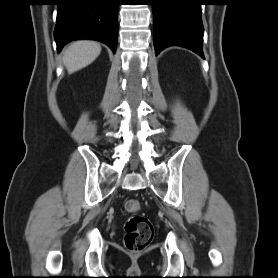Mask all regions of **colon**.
<instances>
[{
    "mask_svg": "<svg viewBox=\"0 0 278 278\" xmlns=\"http://www.w3.org/2000/svg\"><path fill=\"white\" fill-rule=\"evenodd\" d=\"M142 207L141 201L138 199H129L125 203V209L132 214L125 223L124 243L127 249L138 252L147 247L152 241L154 229L150 220L138 215Z\"/></svg>",
    "mask_w": 278,
    "mask_h": 278,
    "instance_id": "obj_1",
    "label": "colon"
}]
</instances>
